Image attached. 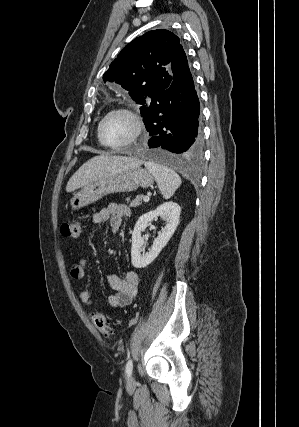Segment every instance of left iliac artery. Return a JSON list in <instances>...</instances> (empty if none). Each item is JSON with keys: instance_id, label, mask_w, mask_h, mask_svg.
<instances>
[{"instance_id": "44dca946", "label": "left iliac artery", "mask_w": 299, "mask_h": 427, "mask_svg": "<svg viewBox=\"0 0 299 427\" xmlns=\"http://www.w3.org/2000/svg\"><path fill=\"white\" fill-rule=\"evenodd\" d=\"M132 369H133V362H132V360L130 359L128 362H127V364H126V375H127V377H130V375H131V373H132Z\"/></svg>"}]
</instances>
